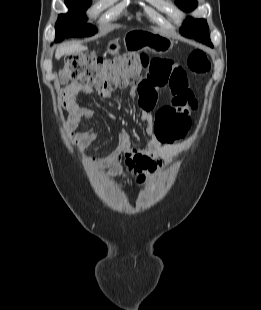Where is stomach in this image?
Returning <instances> with one entry per match:
<instances>
[{
  "label": "stomach",
  "instance_id": "0dacf381",
  "mask_svg": "<svg viewBox=\"0 0 261 310\" xmlns=\"http://www.w3.org/2000/svg\"><path fill=\"white\" fill-rule=\"evenodd\" d=\"M125 43L129 50L141 51L150 50L157 54H164L170 51L173 41L150 30H133L127 33ZM120 46L117 42H111L107 46V52L117 54Z\"/></svg>",
  "mask_w": 261,
  "mask_h": 310
}]
</instances>
